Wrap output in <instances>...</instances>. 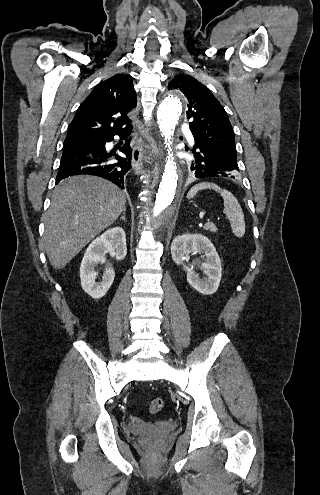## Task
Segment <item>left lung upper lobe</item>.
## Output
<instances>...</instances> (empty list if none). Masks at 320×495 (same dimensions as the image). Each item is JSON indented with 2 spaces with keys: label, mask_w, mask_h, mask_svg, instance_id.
Here are the masks:
<instances>
[{
  "label": "left lung upper lobe",
  "mask_w": 320,
  "mask_h": 495,
  "mask_svg": "<svg viewBox=\"0 0 320 495\" xmlns=\"http://www.w3.org/2000/svg\"><path fill=\"white\" fill-rule=\"evenodd\" d=\"M173 89L183 92L188 100L187 118L190 120L189 126L194 139L237 159L235 137L229 118L210 90L194 77L184 74L176 75L169 82L168 90ZM193 161L194 159L191 163Z\"/></svg>",
  "instance_id": "obj_1"
}]
</instances>
